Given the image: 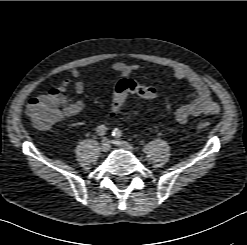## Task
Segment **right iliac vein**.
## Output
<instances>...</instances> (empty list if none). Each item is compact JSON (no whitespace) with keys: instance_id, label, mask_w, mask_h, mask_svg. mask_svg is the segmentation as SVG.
I'll list each match as a JSON object with an SVG mask.
<instances>
[{"instance_id":"63e3f726","label":"right iliac vein","mask_w":247,"mask_h":245,"mask_svg":"<svg viewBox=\"0 0 247 245\" xmlns=\"http://www.w3.org/2000/svg\"><path fill=\"white\" fill-rule=\"evenodd\" d=\"M102 152H108L110 150V141L108 139H103L100 145Z\"/></svg>"}]
</instances>
